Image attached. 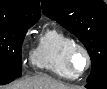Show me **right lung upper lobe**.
<instances>
[{
  "label": "right lung upper lobe",
  "instance_id": "right-lung-upper-lobe-1",
  "mask_svg": "<svg viewBox=\"0 0 107 89\" xmlns=\"http://www.w3.org/2000/svg\"><path fill=\"white\" fill-rule=\"evenodd\" d=\"M39 0H0V21L32 26L40 18Z\"/></svg>",
  "mask_w": 107,
  "mask_h": 89
}]
</instances>
